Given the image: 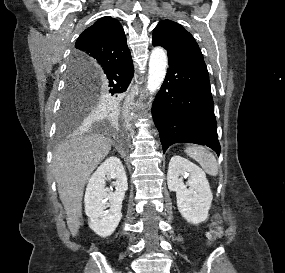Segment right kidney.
I'll return each mask as SVG.
<instances>
[{
	"label": "right kidney",
	"instance_id": "right-kidney-1",
	"mask_svg": "<svg viewBox=\"0 0 285 273\" xmlns=\"http://www.w3.org/2000/svg\"><path fill=\"white\" fill-rule=\"evenodd\" d=\"M110 179H115V192H110L106 188V181ZM127 189L124 167L115 156L106 159L90 178L84 197L85 212L89 217V227L97 235L108 237L118 226L122 217V201Z\"/></svg>",
	"mask_w": 285,
	"mask_h": 273
}]
</instances>
